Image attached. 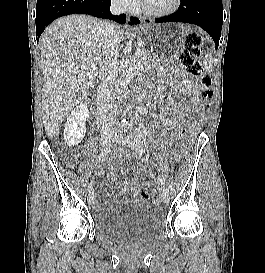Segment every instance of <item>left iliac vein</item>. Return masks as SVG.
<instances>
[{"instance_id": "obj_1", "label": "left iliac vein", "mask_w": 265, "mask_h": 273, "mask_svg": "<svg viewBox=\"0 0 265 273\" xmlns=\"http://www.w3.org/2000/svg\"><path fill=\"white\" fill-rule=\"evenodd\" d=\"M115 140L119 144L128 145L130 148H132L138 153L143 152V147H142L143 143L141 139L134 134H128L126 138L123 136L116 135ZM161 195H162L163 202L167 204L170 200L169 190L167 187H163Z\"/></svg>"}]
</instances>
